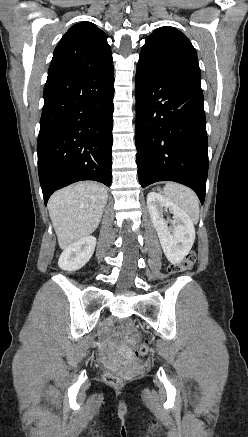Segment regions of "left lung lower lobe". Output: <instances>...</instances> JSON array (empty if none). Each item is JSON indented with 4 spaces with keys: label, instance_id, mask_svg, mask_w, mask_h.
Listing matches in <instances>:
<instances>
[{
    "label": "left lung lower lobe",
    "instance_id": "1",
    "mask_svg": "<svg viewBox=\"0 0 248 437\" xmlns=\"http://www.w3.org/2000/svg\"><path fill=\"white\" fill-rule=\"evenodd\" d=\"M136 148L142 187L175 181L203 204L208 140L202 89L137 69Z\"/></svg>",
    "mask_w": 248,
    "mask_h": 437
}]
</instances>
